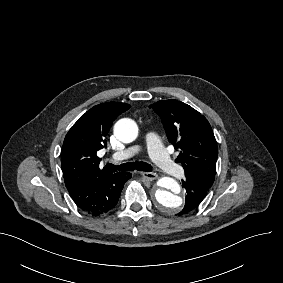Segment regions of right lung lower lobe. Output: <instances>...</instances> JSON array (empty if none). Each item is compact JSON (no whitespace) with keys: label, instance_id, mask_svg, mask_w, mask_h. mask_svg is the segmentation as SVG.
Instances as JSON below:
<instances>
[{"label":"right lung lower lobe","instance_id":"1","mask_svg":"<svg viewBox=\"0 0 283 283\" xmlns=\"http://www.w3.org/2000/svg\"><path fill=\"white\" fill-rule=\"evenodd\" d=\"M130 178L128 172H114L105 176L81 178L66 187L81 211L91 216H100L116 206L123 186Z\"/></svg>","mask_w":283,"mask_h":283}]
</instances>
